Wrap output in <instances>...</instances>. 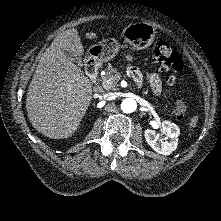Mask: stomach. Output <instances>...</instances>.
<instances>
[{
	"instance_id": "1",
	"label": "stomach",
	"mask_w": 221,
	"mask_h": 221,
	"mask_svg": "<svg viewBox=\"0 0 221 221\" xmlns=\"http://www.w3.org/2000/svg\"><path fill=\"white\" fill-rule=\"evenodd\" d=\"M128 42L138 50L147 48L154 40L155 29L147 23L132 24L127 28ZM119 50V44L113 39H104L92 45L88 54L98 62L111 60Z\"/></svg>"
}]
</instances>
